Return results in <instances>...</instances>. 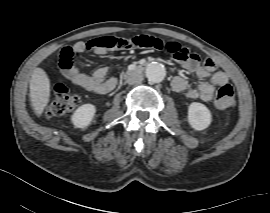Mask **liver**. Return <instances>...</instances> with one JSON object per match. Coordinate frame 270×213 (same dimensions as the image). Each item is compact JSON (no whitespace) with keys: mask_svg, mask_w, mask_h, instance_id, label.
Segmentation results:
<instances>
[{"mask_svg":"<svg viewBox=\"0 0 270 213\" xmlns=\"http://www.w3.org/2000/svg\"><path fill=\"white\" fill-rule=\"evenodd\" d=\"M30 98L37 115H41L50 98V80L42 68H35L30 79Z\"/></svg>","mask_w":270,"mask_h":213,"instance_id":"obj_1","label":"liver"}]
</instances>
